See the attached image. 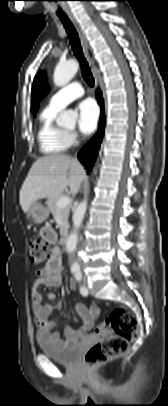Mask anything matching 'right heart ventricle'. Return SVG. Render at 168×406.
<instances>
[{
    "label": "right heart ventricle",
    "instance_id": "obj_1",
    "mask_svg": "<svg viewBox=\"0 0 168 406\" xmlns=\"http://www.w3.org/2000/svg\"><path fill=\"white\" fill-rule=\"evenodd\" d=\"M60 109L46 106L39 116L38 142L44 154H58L72 144L69 133L57 125L56 117Z\"/></svg>",
    "mask_w": 168,
    "mask_h": 406
}]
</instances>
